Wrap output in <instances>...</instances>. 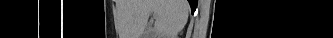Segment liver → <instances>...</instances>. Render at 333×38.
I'll return each mask as SVG.
<instances>
[{
    "label": "liver",
    "mask_w": 333,
    "mask_h": 38,
    "mask_svg": "<svg viewBox=\"0 0 333 38\" xmlns=\"http://www.w3.org/2000/svg\"><path fill=\"white\" fill-rule=\"evenodd\" d=\"M187 0H137L136 34L141 36L151 13L155 14L154 29L163 38H175L188 20Z\"/></svg>",
    "instance_id": "obj_1"
}]
</instances>
